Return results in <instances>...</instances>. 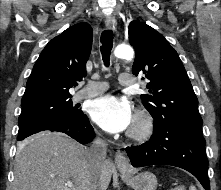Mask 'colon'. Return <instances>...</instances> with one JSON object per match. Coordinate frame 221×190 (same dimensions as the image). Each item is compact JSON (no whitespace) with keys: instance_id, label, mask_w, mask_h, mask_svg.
I'll use <instances>...</instances> for the list:
<instances>
[{"instance_id":"5ec220e1","label":"colon","mask_w":221,"mask_h":190,"mask_svg":"<svg viewBox=\"0 0 221 190\" xmlns=\"http://www.w3.org/2000/svg\"><path fill=\"white\" fill-rule=\"evenodd\" d=\"M175 190H183L182 188H177V189H175Z\"/></svg>"}]
</instances>
